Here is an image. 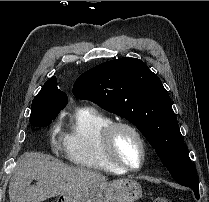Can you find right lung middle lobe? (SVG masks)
<instances>
[{
    "label": "right lung middle lobe",
    "mask_w": 209,
    "mask_h": 202,
    "mask_svg": "<svg viewBox=\"0 0 209 202\" xmlns=\"http://www.w3.org/2000/svg\"><path fill=\"white\" fill-rule=\"evenodd\" d=\"M51 93H38L31 105L30 123L35 127L48 126L63 107L49 104Z\"/></svg>",
    "instance_id": "right-lung-middle-lobe-1"
}]
</instances>
